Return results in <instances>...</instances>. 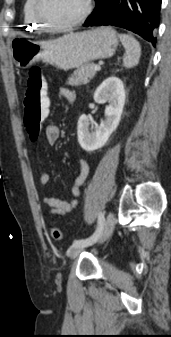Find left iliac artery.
<instances>
[{
  "label": "left iliac artery",
  "instance_id": "obj_1",
  "mask_svg": "<svg viewBox=\"0 0 171 337\" xmlns=\"http://www.w3.org/2000/svg\"><path fill=\"white\" fill-rule=\"evenodd\" d=\"M105 225V217L104 213L100 212L98 214V224L95 232L88 238L86 239H79V240H74L72 247H79V246H89L97 242V240L100 238L102 231L104 229Z\"/></svg>",
  "mask_w": 171,
  "mask_h": 337
}]
</instances>
